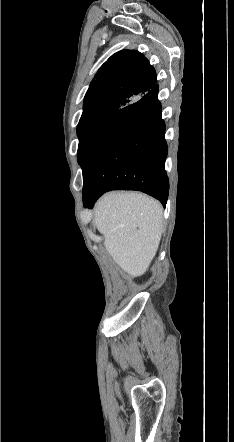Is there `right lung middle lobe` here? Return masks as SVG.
Returning a JSON list of instances; mask_svg holds the SVG:
<instances>
[{
  "mask_svg": "<svg viewBox=\"0 0 234 442\" xmlns=\"http://www.w3.org/2000/svg\"><path fill=\"white\" fill-rule=\"evenodd\" d=\"M118 112H104L80 119L77 126L79 137L78 163L82 164Z\"/></svg>",
  "mask_w": 234,
  "mask_h": 442,
  "instance_id": "right-lung-middle-lobe-1",
  "label": "right lung middle lobe"
}]
</instances>
